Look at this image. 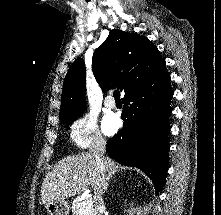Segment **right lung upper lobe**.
<instances>
[{
	"mask_svg": "<svg viewBox=\"0 0 221 215\" xmlns=\"http://www.w3.org/2000/svg\"><path fill=\"white\" fill-rule=\"evenodd\" d=\"M164 69L165 60L146 37L120 30H112L92 58V71L103 92L117 87L126 94ZM85 85V63L78 58L70 65L64 79L61 120L85 110Z\"/></svg>",
	"mask_w": 221,
	"mask_h": 215,
	"instance_id": "cb5924a9",
	"label": "right lung upper lobe"
}]
</instances>
